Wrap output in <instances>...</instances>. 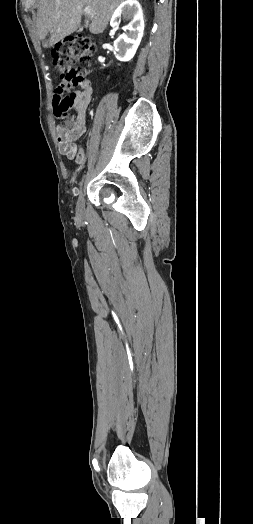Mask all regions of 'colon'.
<instances>
[{
	"label": "colon",
	"mask_w": 253,
	"mask_h": 524,
	"mask_svg": "<svg viewBox=\"0 0 253 524\" xmlns=\"http://www.w3.org/2000/svg\"><path fill=\"white\" fill-rule=\"evenodd\" d=\"M94 48V42L88 37L69 35L60 41L54 50L53 65L62 80L60 83L62 97L55 104V111L62 119L63 129L66 132L76 127L75 120L70 116L74 107V93L88 97L94 92L92 81L87 76V70L74 66L77 61L88 63L89 55ZM74 88H76L74 92H71L70 90Z\"/></svg>",
	"instance_id": "1"
}]
</instances>
